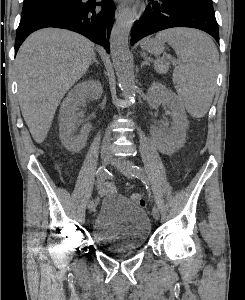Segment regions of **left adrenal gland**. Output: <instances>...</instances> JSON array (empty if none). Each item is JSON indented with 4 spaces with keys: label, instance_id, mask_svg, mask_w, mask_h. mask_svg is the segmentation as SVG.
<instances>
[{
    "label": "left adrenal gland",
    "instance_id": "1",
    "mask_svg": "<svg viewBox=\"0 0 245 300\" xmlns=\"http://www.w3.org/2000/svg\"><path fill=\"white\" fill-rule=\"evenodd\" d=\"M145 65H149L147 59L145 58V60L142 62L141 64V68L144 67Z\"/></svg>",
    "mask_w": 245,
    "mask_h": 300
}]
</instances>
